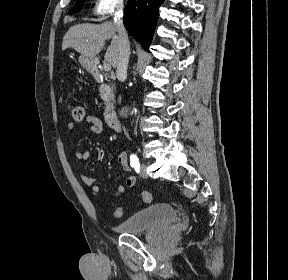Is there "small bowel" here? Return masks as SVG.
Masks as SVG:
<instances>
[{
    "instance_id": "obj_1",
    "label": "small bowel",
    "mask_w": 288,
    "mask_h": 280,
    "mask_svg": "<svg viewBox=\"0 0 288 280\" xmlns=\"http://www.w3.org/2000/svg\"><path fill=\"white\" fill-rule=\"evenodd\" d=\"M85 122L90 126V130L94 133H101L104 129L103 122L96 115H88ZM68 128L69 130H73L74 124L70 122L68 124ZM74 155L80 161H86L90 158V152L88 151H77ZM117 160L125 173H129L131 171V165L129 164L128 155L125 151H119L117 153ZM80 178L87 186L91 188V192L94 195H100L102 193V189L98 184L100 178H94L87 175H81ZM125 185L130 188L134 187L136 185V177L133 175H128L125 178ZM125 185H118L111 196L114 198L120 197L125 192Z\"/></svg>"
}]
</instances>
